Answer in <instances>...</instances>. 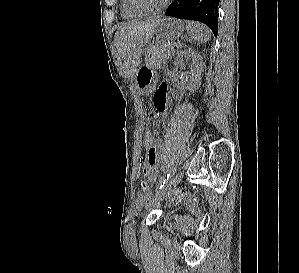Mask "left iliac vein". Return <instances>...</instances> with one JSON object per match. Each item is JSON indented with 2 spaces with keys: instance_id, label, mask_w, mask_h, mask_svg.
Segmentation results:
<instances>
[{
  "instance_id": "1",
  "label": "left iliac vein",
  "mask_w": 299,
  "mask_h": 273,
  "mask_svg": "<svg viewBox=\"0 0 299 273\" xmlns=\"http://www.w3.org/2000/svg\"><path fill=\"white\" fill-rule=\"evenodd\" d=\"M182 177L183 172L179 171L160 191L156 193L155 198L148 206H154L159 201H161L166 196V194L181 181Z\"/></svg>"
}]
</instances>
